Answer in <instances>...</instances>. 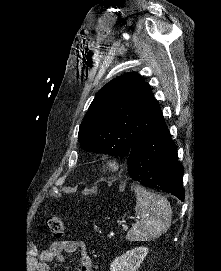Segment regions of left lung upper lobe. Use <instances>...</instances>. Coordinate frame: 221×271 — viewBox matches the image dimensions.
<instances>
[{
	"label": "left lung upper lobe",
	"instance_id": "5c2ea615",
	"mask_svg": "<svg viewBox=\"0 0 221 271\" xmlns=\"http://www.w3.org/2000/svg\"><path fill=\"white\" fill-rule=\"evenodd\" d=\"M164 121L149 85L136 73L107 83L95 96L80 128L86 151L125 157L150 130Z\"/></svg>",
	"mask_w": 221,
	"mask_h": 271
}]
</instances>
